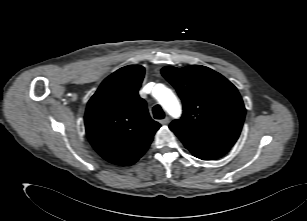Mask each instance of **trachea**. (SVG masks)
<instances>
[{"label":"trachea","mask_w":307,"mask_h":221,"mask_svg":"<svg viewBox=\"0 0 307 221\" xmlns=\"http://www.w3.org/2000/svg\"><path fill=\"white\" fill-rule=\"evenodd\" d=\"M152 111L155 119H163L165 117L164 111L160 105H155Z\"/></svg>","instance_id":"3493384b"}]
</instances>
